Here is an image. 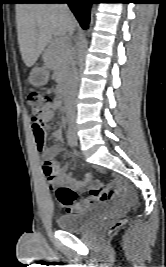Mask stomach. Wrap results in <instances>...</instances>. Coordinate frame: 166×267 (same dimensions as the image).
<instances>
[{
    "label": "stomach",
    "instance_id": "obj_1",
    "mask_svg": "<svg viewBox=\"0 0 166 267\" xmlns=\"http://www.w3.org/2000/svg\"><path fill=\"white\" fill-rule=\"evenodd\" d=\"M49 80V71L46 66H36L30 72L28 81L34 87H41Z\"/></svg>",
    "mask_w": 166,
    "mask_h": 267
}]
</instances>
